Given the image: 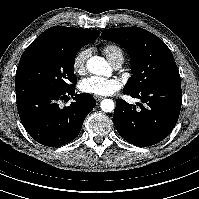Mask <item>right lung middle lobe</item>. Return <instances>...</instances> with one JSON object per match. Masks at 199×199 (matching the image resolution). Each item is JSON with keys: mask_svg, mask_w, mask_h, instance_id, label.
<instances>
[{"mask_svg": "<svg viewBox=\"0 0 199 199\" xmlns=\"http://www.w3.org/2000/svg\"><path fill=\"white\" fill-rule=\"evenodd\" d=\"M85 43L64 46L47 39H35L24 51L16 71L15 90L43 89L63 92L77 83L76 53Z\"/></svg>", "mask_w": 199, "mask_h": 199, "instance_id": "obj_1", "label": "right lung middle lobe"}]
</instances>
